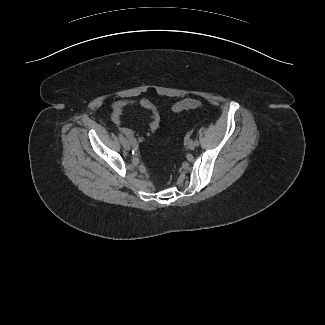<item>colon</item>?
I'll use <instances>...</instances> for the list:
<instances>
[{"label": "colon", "mask_w": 325, "mask_h": 325, "mask_svg": "<svg viewBox=\"0 0 325 325\" xmlns=\"http://www.w3.org/2000/svg\"><path fill=\"white\" fill-rule=\"evenodd\" d=\"M202 106V103L199 100L195 99H184L182 101L177 102L172 110L173 112H180L183 110L193 109V108H199Z\"/></svg>", "instance_id": "1"}]
</instances>
